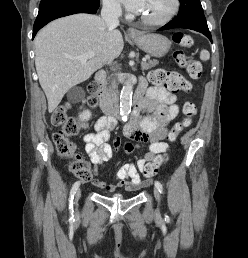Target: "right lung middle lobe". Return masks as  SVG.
<instances>
[{
  "instance_id": "dd1d6c3e",
  "label": "right lung middle lobe",
  "mask_w": 248,
  "mask_h": 258,
  "mask_svg": "<svg viewBox=\"0 0 248 258\" xmlns=\"http://www.w3.org/2000/svg\"><path fill=\"white\" fill-rule=\"evenodd\" d=\"M62 1H69V0H41L40 5H39V9L42 8V7H45L47 5L57 3V2H62Z\"/></svg>"
}]
</instances>
